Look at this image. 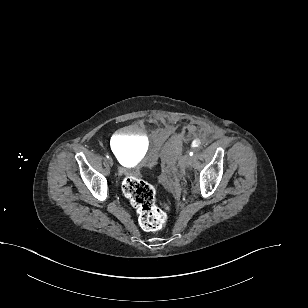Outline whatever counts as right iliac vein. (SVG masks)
<instances>
[{
	"instance_id": "right-iliac-vein-1",
	"label": "right iliac vein",
	"mask_w": 308,
	"mask_h": 308,
	"mask_svg": "<svg viewBox=\"0 0 308 308\" xmlns=\"http://www.w3.org/2000/svg\"><path fill=\"white\" fill-rule=\"evenodd\" d=\"M108 162H109V164L112 166L113 165V160H112V158H109L108 159Z\"/></svg>"
}]
</instances>
